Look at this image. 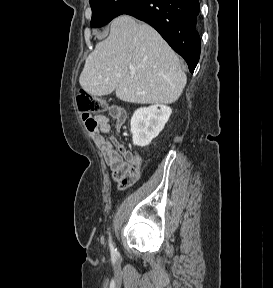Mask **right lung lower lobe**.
I'll use <instances>...</instances> for the list:
<instances>
[{
    "label": "right lung lower lobe",
    "mask_w": 273,
    "mask_h": 288,
    "mask_svg": "<svg viewBox=\"0 0 273 288\" xmlns=\"http://www.w3.org/2000/svg\"><path fill=\"white\" fill-rule=\"evenodd\" d=\"M199 0H136L123 14L154 27L193 73L200 57Z\"/></svg>",
    "instance_id": "98d812e1"
}]
</instances>
